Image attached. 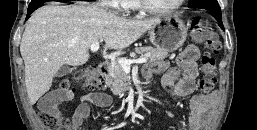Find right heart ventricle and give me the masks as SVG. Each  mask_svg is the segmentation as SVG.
I'll list each match as a JSON object with an SVG mask.
<instances>
[{"mask_svg":"<svg viewBox=\"0 0 257 130\" xmlns=\"http://www.w3.org/2000/svg\"><path fill=\"white\" fill-rule=\"evenodd\" d=\"M122 8L125 10H138V5L136 3V0H123L122 1Z\"/></svg>","mask_w":257,"mask_h":130,"instance_id":"obj_1","label":"right heart ventricle"}]
</instances>
